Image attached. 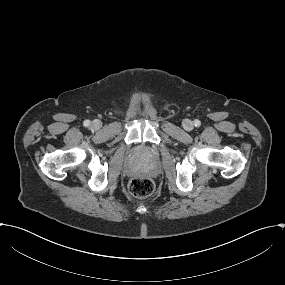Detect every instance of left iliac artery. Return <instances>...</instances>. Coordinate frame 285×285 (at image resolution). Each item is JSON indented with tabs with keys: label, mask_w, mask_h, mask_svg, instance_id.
<instances>
[{
	"label": "left iliac artery",
	"mask_w": 285,
	"mask_h": 285,
	"mask_svg": "<svg viewBox=\"0 0 285 285\" xmlns=\"http://www.w3.org/2000/svg\"><path fill=\"white\" fill-rule=\"evenodd\" d=\"M201 125L200 120L196 119L194 120V126L199 127Z\"/></svg>",
	"instance_id": "obj_1"
}]
</instances>
